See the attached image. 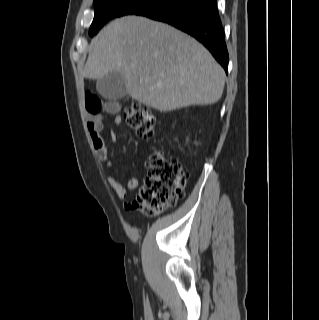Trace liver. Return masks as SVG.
I'll return each mask as SVG.
<instances>
[{
    "instance_id": "1",
    "label": "liver",
    "mask_w": 319,
    "mask_h": 320,
    "mask_svg": "<svg viewBox=\"0 0 319 320\" xmlns=\"http://www.w3.org/2000/svg\"><path fill=\"white\" fill-rule=\"evenodd\" d=\"M112 72L124 77L130 97L161 112L214 104L225 85L224 70L198 41L135 15L115 19L90 43L84 76Z\"/></svg>"
}]
</instances>
